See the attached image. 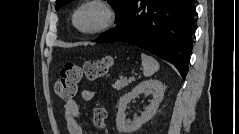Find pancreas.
Listing matches in <instances>:
<instances>
[{"label":"pancreas","instance_id":"1","mask_svg":"<svg viewBox=\"0 0 239 134\" xmlns=\"http://www.w3.org/2000/svg\"><path fill=\"white\" fill-rule=\"evenodd\" d=\"M134 80H135L134 77H131L129 79L120 78L119 80H117L115 83L112 84V88L116 90H121L125 88L126 86H128L129 84H131Z\"/></svg>","mask_w":239,"mask_h":134}]
</instances>
